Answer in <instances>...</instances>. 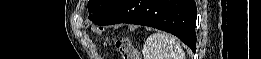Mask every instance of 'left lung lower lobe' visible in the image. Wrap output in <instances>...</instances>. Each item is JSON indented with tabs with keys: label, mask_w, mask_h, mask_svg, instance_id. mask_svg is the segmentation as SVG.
Returning a JSON list of instances; mask_svg holds the SVG:
<instances>
[{
	"label": "left lung lower lobe",
	"mask_w": 261,
	"mask_h": 59,
	"mask_svg": "<svg viewBox=\"0 0 261 59\" xmlns=\"http://www.w3.org/2000/svg\"><path fill=\"white\" fill-rule=\"evenodd\" d=\"M196 16L194 0H119L96 24L154 27L176 35L195 52Z\"/></svg>",
	"instance_id": "1"
}]
</instances>
